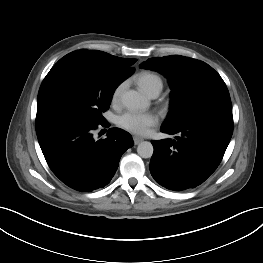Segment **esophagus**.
<instances>
[{
    "mask_svg": "<svg viewBox=\"0 0 263 263\" xmlns=\"http://www.w3.org/2000/svg\"><path fill=\"white\" fill-rule=\"evenodd\" d=\"M134 143L135 145H138L139 143H141L144 139L142 137L139 136H134L133 137Z\"/></svg>",
    "mask_w": 263,
    "mask_h": 263,
    "instance_id": "1",
    "label": "esophagus"
}]
</instances>
